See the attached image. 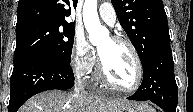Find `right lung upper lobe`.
I'll list each match as a JSON object with an SVG mask.
<instances>
[{"mask_svg":"<svg viewBox=\"0 0 193 112\" xmlns=\"http://www.w3.org/2000/svg\"><path fill=\"white\" fill-rule=\"evenodd\" d=\"M77 2L78 0H19L16 29L37 23H68L65 18L71 14L70 6L76 8Z\"/></svg>","mask_w":193,"mask_h":112,"instance_id":"right-lung-upper-lobe-1","label":"right lung upper lobe"}]
</instances>
